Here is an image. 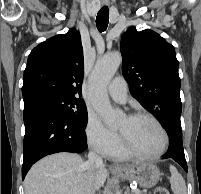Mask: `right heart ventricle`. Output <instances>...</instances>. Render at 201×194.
<instances>
[{
	"label": "right heart ventricle",
	"instance_id": "obj_1",
	"mask_svg": "<svg viewBox=\"0 0 201 194\" xmlns=\"http://www.w3.org/2000/svg\"><path fill=\"white\" fill-rule=\"evenodd\" d=\"M109 157L117 160H125L130 156L124 151L122 145H119L115 150H113L109 155Z\"/></svg>",
	"mask_w": 201,
	"mask_h": 194
}]
</instances>
